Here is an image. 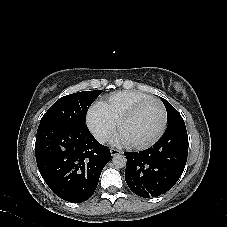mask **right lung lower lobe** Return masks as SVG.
Wrapping results in <instances>:
<instances>
[{"label": "right lung lower lobe", "instance_id": "1", "mask_svg": "<svg viewBox=\"0 0 227 227\" xmlns=\"http://www.w3.org/2000/svg\"><path fill=\"white\" fill-rule=\"evenodd\" d=\"M35 155L49 188L72 203L93 195L101 171L111 159L108 147L98 143L86 125L39 124Z\"/></svg>", "mask_w": 227, "mask_h": 227}]
</instances>
